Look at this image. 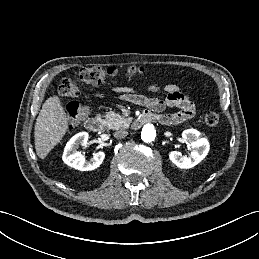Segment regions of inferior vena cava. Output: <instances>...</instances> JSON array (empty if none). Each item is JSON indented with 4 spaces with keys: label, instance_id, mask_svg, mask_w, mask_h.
<instances>
[{
    "label": "inferior vena cava",
    "instance_id": "inferior-vena-cava-1",
    "mask_svg": "<svg viewBox=\"0 0 259 259\" xmlns=\"http://www.w3.org/2000/svg\"><path fill=\"white\" fill-rule=\"evenodd\" d=\"M128 135V131L125 129H120L114 132V137L117 139L125 138Z\"/></svg>",
    "mask_w": 259,
    "mask_h": 259
}]
</instances>
